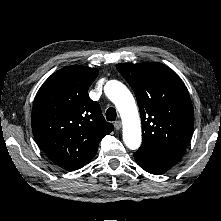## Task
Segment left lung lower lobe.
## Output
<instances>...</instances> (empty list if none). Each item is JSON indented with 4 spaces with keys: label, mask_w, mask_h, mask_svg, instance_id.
<instances>
[{
    "label": "left lung lower lobe",
    "mask_w": 221,
    "mask_h": 221,
    "mask_svg": "<svg viewBox=\"0 0 221 221\" xmlns=\"http://www.w3.org/2000/svg\"><path fill=\"white\" fill-rule=\"evenodd\" d=\"M134 158L141 168L155 175L165 173L180 160L174 157L163 156L150 149L141 147L134 153Z\"/></svg>",
    "instance_id": "obj_1"
}]
</instances>
